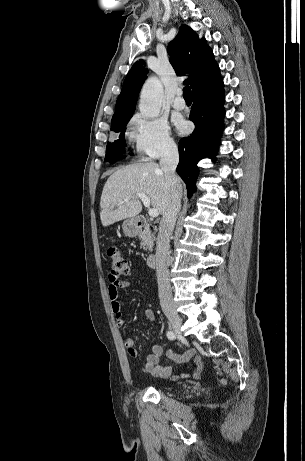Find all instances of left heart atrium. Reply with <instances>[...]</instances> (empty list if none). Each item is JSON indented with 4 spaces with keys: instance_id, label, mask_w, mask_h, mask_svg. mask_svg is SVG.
Instances as JSON below:
<instances>
[{
    "instance_id": "39dd6f15",
    "label": "left heart atrium",
    "mask_w": 305,
    "mask_h": 461,
    "mask_svg": "<svg viewBox=\"0 0 305 461\" xmlns=\"http://www.w3.org/2000/svg\"><path fill=\"white\" fill-rule=\"evenodd\" d=\"M177 127H178L179 131L184 132L185 129H186V123L184 121L180 120V121L177 122Z\"/></svg>"
}]
</instances>
